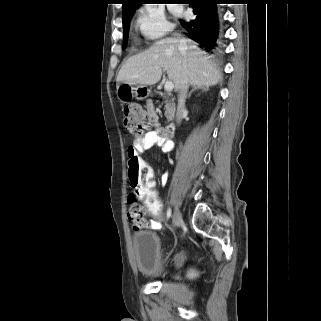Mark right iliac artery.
Returning a JSON list of instances; mask_svg holds the SVG:
<instances>
[{"label": "right iliac artery", "instance_id": "obj_1", "mask_svg": "<svg viewBox=\"0 0 321 321\" xmlns=\"http://www.w3.org/2000/svg\"><path fill=\"white\" fill-rule=\"evenodd\" d=\"M171 217V209H168L167 211V219H169Z\"/></svg>", "mask_w": 321, "mask_h": 321}]
</instances>
